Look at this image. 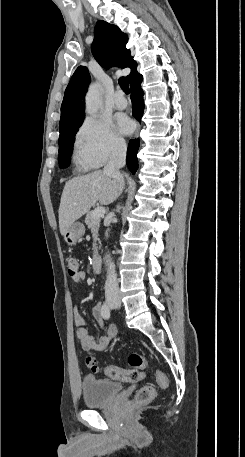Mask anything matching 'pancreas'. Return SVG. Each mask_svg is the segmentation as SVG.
Instances as JSON below:
<instances>
[{"mask_svg":"<svg viewBox=\"0 0 245 457\" xmlns=\"http://www.w3.org/2000/svg\"><path fill=\"white\" fill-rule=\"evenodd\" d=\"M93 210H90V212H87L85 216V222L88 226V229H91L92 237H93V249L94 251L93 255H97L98 253V247L96 245L97 241H100L98 239V231H99V224H100V218H94L92 216Z\"/></svg>","mask_w":245,"mask_h":457,"instance_id":"1","label":"pancreas"}]
</instances>
